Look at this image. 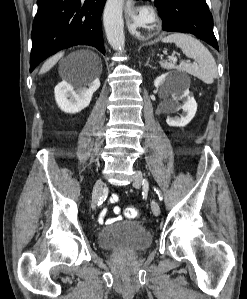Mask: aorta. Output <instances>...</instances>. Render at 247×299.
Instances as JSON below:
<instances>
[{"label":"aorta","mask_w":247,"mask_h":299,"mask_svg":"<svg viewBox=\"0 0 247 299\" xmlns=\"http://www.w3.org/2000/svg\"><path fill=\"white\" fill-rule=\"evenodd\" d=\"M123 5L124 0H107L103 14L107 40L116 51L124 50L125 46Z\"/></svg>","instance_id":"1"}]
</instances>
